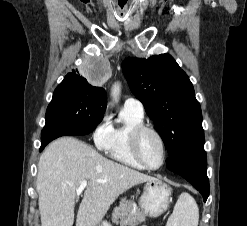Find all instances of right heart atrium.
I'll use <instances>...</instances> for the list:
<instances>
[{
	"label": "right heart atrium",
	"instance_id": "d8ad5b80",
	"mask_svg": "<svg viewBox=\"0 0 247 226\" xmlns=\"http://www.w3.org/2000/svg\"><path fill=\"white\" fill-rule=\"evenodd\" d=\"M95 145L104 149L110 140V124L106 117L103 118L102 122L97 126L93 135Z\"/></svg>",
	"mask_w": 247,
	"mask_h": 226
}]
</instances>
